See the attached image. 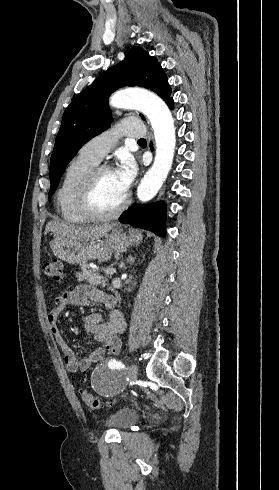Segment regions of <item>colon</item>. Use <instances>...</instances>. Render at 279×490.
<instances>
[{"instance_id":"colon-1","label":"colon","mask_w":279,"mask_h":490,"mask_svg":"<svg viewBox=\"0 0 279 490\" xmlns=\"http://www.w3.org/2000/svg\"><path fill=\"white\" fill-rule=\"evenodd\" d=\"M62 263L60 260L55 259L47 262L44 265L43 271L46 276L53 277L57 281L61 279L62 276ZM82 401L91 409L99 410L104 408V403L96 395L87 390L81 391Z\"/></svg>"}]
</instances>
